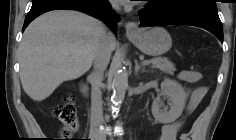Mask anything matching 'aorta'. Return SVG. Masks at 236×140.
<instances>
[{
    "label": "aorta",
    "mask_w": 236,
    "mask_h": 140,
    "mask_svg": "<svg viewBox=\"0 0 236 140\" xmlns=\"http://www.w3.org/2000/svg\"><path fill=\"white\" fill-rule=\"evenodd\" d=\"M128 86V74L121 65H117L112 82L113 94L111 101L113 105H120L125 97V92Z\"/></svg>",
    "instance_id": "aorta-1"
}]
</instances>
